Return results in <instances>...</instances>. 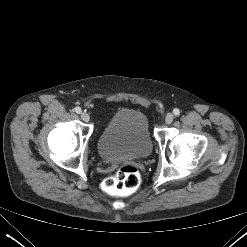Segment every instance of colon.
<instances>
[{
	"instance_id": "5ec220e1",
	"label": "colon",
	"mask_w": 247,
	"mask_h": 247,
	"mask_svg": "<svg viewBox=\"0 0 247 247\" xmlns=\"http://www.w3.org/2000/svg\"><path fill=\"white\" fill-rule=\"evenodd\" d=\"M140 173L133 165H123L116 172L105 179L104 189L114 195H128L140 185Z\"/></svg>"
}]
</instances>
